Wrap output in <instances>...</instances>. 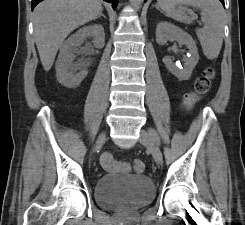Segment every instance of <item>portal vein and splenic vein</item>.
Returning a JSON list of instances; mask_svg holds the SVG:
<instances>
[{
    "label": "portal vein and splenic vein",
    "instance_id": "obj_1",
    "mask_svg": "<svg viewBox=\"0 0 245 225\" xmlns=\"http://www.w3.org/2000/svg\"><path fill=\"white\" fill-rule=\"evenodd\" d=\"M185 12L188 13V14H190V15H192L193 18H196V15L193 13L192 10H190V9H185Z\"/></svg>",
    "mask_w": 245,
    "mask_h": 225
}]
</instances>
